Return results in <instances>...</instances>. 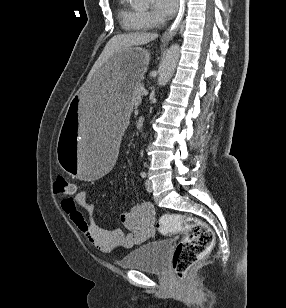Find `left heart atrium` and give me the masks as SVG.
<instances>
[{
    "mask_svg": "<svg viewBox=\"0 0 286 308\" xmlns=\"http://www.w3.org/2000/svg\"><path fill=\"white\" fill-rule=\"evenodd\" d=\"M179 0H152V10L161 19L172 17L177 8Z\"/></svg>",
    "mask_w": 286,
    "mask_h": 308,
    "instance_id": "left-heart-atrium-1",
    "label": "left heart atrium"
}]
</instances>
